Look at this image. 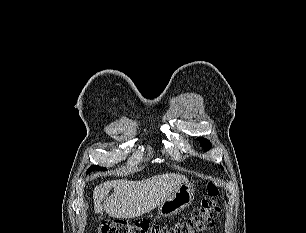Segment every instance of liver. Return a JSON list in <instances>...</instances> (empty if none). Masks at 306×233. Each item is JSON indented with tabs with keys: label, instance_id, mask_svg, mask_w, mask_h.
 <instances>
[{
	"label": "liver",
	"instance_id": "1",
	"mask_svg": "<svg viewBox=\"0 0 306 233\" xmlns=\"http://www.w3.org/2000/svg\"><path fill=\"white\" fill-rule=\"evenodd\" d=\"M183 183H188V179L175 173L142 181H107L96 186L93 191L94 210L95 213L105 211L112 218H135L156 208ZM111 188H114V192L108 196Z\"/></svg>",
	"mask_w": 306,
	"mask_h": 233
}]
</instances>
